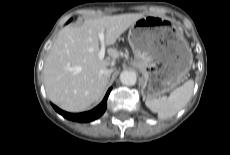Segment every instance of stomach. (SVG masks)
<instances>
[{"label":"stomach","instance_id":"stomach-1","mask_svg":"<svg viewBox=\"0 0 230 155\" xmlns=\"http://www.w3.org/2000/svg\"><path fill=\"white\" fill-rule=\"evenodd\" d=\"M128 41L135 55L134 65L144 78V99L160 98L186 78L192 52L181 29L171 20L144 16L132 24Z\"/></svg>","mask_w":230,"mask_h":155}]
</instances>
